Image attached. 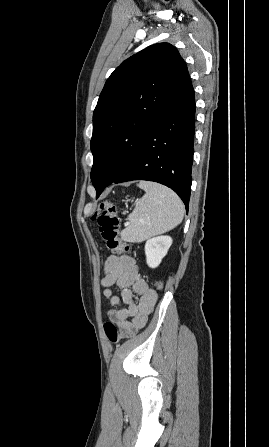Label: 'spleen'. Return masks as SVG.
<instances>
[{"label":"spleen","mask_w":269,"mask_h":447,"mask_svg":"<svg viewBox=\"0 0 269 447\" xmlns=\"http://www.w3.org/2000/svg\"><path fill=\"white\" fill-rule=\"evenodd\" d=\"M137 186L145 190L146 194L128 216L130 225L122 229L121 239L144 241L181 224L184 206L175 192L155 182H139Z\"/></svg>","instance_id":"1"}]
</instances>
